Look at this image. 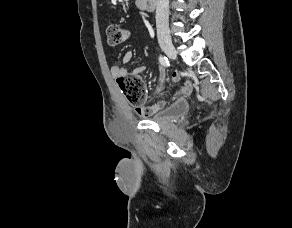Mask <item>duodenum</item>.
Segmentation results:
<instances>
[{
    "instance_id": "410a0bca",
    "label": "duodenum",
    "mask_w": 292,
    "mask_h": 228,
    "mask_svg": "<svg viewBox=\"0 0 292 228\" xmlns=\"http://www.w3.org/2000/svg\"><path fill=\"white\" fill-rule=\"evenodd\" d=\"M141 9L152 11L155 8L156 0H137Z\"/></svg>"
}]
</instances>
